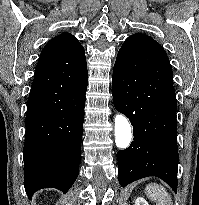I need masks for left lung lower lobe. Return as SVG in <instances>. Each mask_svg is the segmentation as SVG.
<instances>
[{
	"mask_svg": "<svg viewBox=\"0 0 199 205\" xmlns=\"http://www.w3.org/2000/svg\"><path fill=\"white\" fill-rule=\"evenodd\" d=\"M112 95L126 115L134 140L117 152L119 183L156 176L177 192V102L172 68L163 47L136 33L120 48L113 69Z\"/></svg>",
	"mask_w": 199,
	"mask_h": 205,
	"instance_id": "left-lung-lower-lobe-1",
	"label": "left lung lower lobe"
}]
</instances>
